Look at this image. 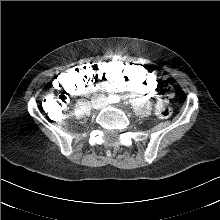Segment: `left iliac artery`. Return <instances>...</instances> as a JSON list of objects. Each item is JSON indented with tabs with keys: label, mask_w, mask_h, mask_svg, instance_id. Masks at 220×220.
Masks as SVG:
<instances>
[{
	"label": "left iliac artery",
	"mask_w": 220,
	"mask_h": 220,
	"mask_svg": "<svg viewBox=\"0 0 220 220\" xmlns=\"http://www.w3.org/2000/svg\"><path fill=\"white\" fill-rule=\"evenodd\" d=\"M112 103H119L120 102V97L117 95H113L112 99L110 100Z\"/></svg>",
	"instance_id": "1"
}]
</instances>
